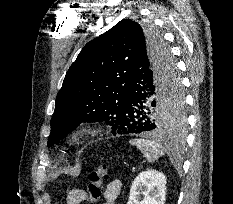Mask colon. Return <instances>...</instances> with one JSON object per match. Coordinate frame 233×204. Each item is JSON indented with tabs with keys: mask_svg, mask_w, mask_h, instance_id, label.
Returning <instances> with one entry per match:
<instances>
[{
	"mask_svg": "<svg viewBox=\"0 0 233 204\" xmlns=\"http://www.w3.org/2000/svg\"><path fill=\"white\" fill-rule=\"evenodd\" d=\"M108 177V167L105 164L98 166L89 174L88 189L66 187V203L82 204L86 199L96 201L100 198L104 181Z\"/></svg>",
	"mask_w": 233,
	"mask_h": 204,
	"instance_id": "1",
	"label": "colon"
}]
</instances>
